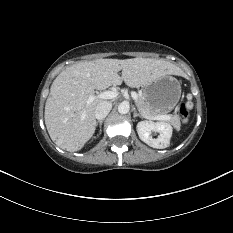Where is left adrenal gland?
<instances>
[{"label":"left adrenal gland","instance_id":"obj_1","mask_svg":"<svg viewBox=\"0 0 233 233\" xmlns=\"http://www.w3.org/2000/svg\"><path fill=\"white\" fill-rule=\"evenodd\" d=\"M133 112H134V114H133V117H134V118H135V117L143 118L142 115H140V114L136 111L135 108H133Z\"/></svg>","mask_w":233,"mask_h":233}]
</instances>
